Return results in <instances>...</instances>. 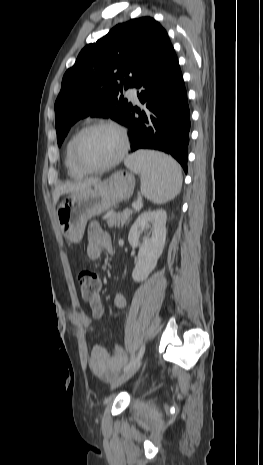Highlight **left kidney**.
<instances>
[{
    "instance_id": "left-kidney-1",
    "label": "left kidney",
    "mask_w": 263,
    "mask_h": 465,
    "mask_svg": "<svg viewBox=\"0 0 263 465\" xmlns=\"http://www.w3.org/2000/svg\"><path fill=\"white\" fill-rule=\"evenodd\" d=\"M166 220V212L159 209L142 213L131 226L128 241L132 247H139L137 262L132 272L134 281L145 280L156 267L165 245ZM150 228L151 237H144L140 244L142 232Z\"/></svg>"
}]
</instances>
